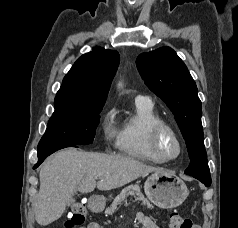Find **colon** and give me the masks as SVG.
Instances as JSON below:
<instances>
[{
  "label": "colon",
  "mask_w": 238,
  "mask_h": 228,
  "mask_svg": "<svg viewBox=\"0 0 238 228\" xmlns=\"http://www.w3.org/2000/svg\"><path fill=\"white\" fill-rule=\"evenodd\" d=\"M87 218V209L82 202L75 203L68 219L65 223L66 228H75L84 224ZM170 227L171 228H198L193 224L190 218L180 215L178 213H172L170 215Z\"/></svg>",
  "instance_id": "1"
}]
</instances>
